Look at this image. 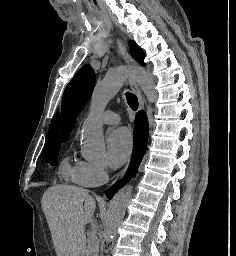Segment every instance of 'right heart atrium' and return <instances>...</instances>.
I'll return each mask as SVG.
<instances>
[{
	"mask_svg": "<svg viewBox=\"0 0 236 256\" xmlns=\"http://www.w3.org/2000/svg\"><path fill=\"white\" fill-rule=\"evenodd\" d=\"M108 168L105 161H90L79 159L75 162L71 172L74 184L86 188H96L108 181Z\"/></svg>",
	"mask_w": 236,
	"mask_h": 256,
	"instance_id": "obj_1",
	"label": "right heart atrium"
}]
</instances>
